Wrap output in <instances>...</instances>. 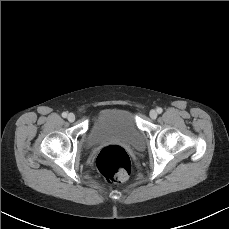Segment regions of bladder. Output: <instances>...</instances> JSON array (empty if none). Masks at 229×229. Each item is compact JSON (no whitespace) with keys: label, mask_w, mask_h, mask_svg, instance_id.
<instances>
[{"label":"bladder","mask_w":229,"mask_h":229,"mask_svg":"<svg viewBox=\"0 0 229 229\" xmlns=\"http://www.w3.org/2000/svg\"><path fill=\"white\" fill-rule=\"evenodd\" d=\"M108 141L121 142L137 151L145 148V138L134 116L127 110L108 109L100 112L88 131L87 146Z\"/></svg>","instance_id":"obj_1"}]
</instances>
